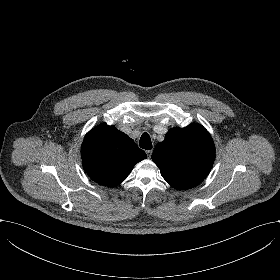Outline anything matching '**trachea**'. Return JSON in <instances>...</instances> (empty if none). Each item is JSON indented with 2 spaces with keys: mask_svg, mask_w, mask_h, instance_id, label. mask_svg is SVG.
I'll use <instances>...</instances> for the list:
<instances>
[{
  "mask_svg": "<svg viewBox=\"0 0 280 280\" xmlns=\"http://www.w3.org/2000/svg\"><path fill=\"white\" fill-rule=\"evenodd\" d=\"M139 145L141 148L146 149V150L152 149V143H151L150 136L148 135V133L145 132L142 134Z\"/></svg>",
  "mask_w": 280,
  "mask_h": 280,
  "instance_id": "trachea-1",
  "label": "trachea"
}]
</instances>
